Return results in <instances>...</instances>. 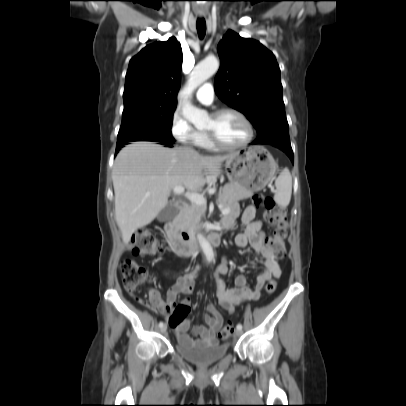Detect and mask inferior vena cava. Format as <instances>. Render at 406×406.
<instances>
[{
    "mask_svg": "<svg viewBox=\"0 0 406 406\" xmlns=\"http://www.w3.org/2000/svg\"><path fill=\"white\" fill-rule=\"evenodd\" d=\"M185 150L192 152V153H197L194 149H192L191 147H184Z\"/></svg>",
    "mask_w": 406,
    "mask_h": 406,
    "instance_id": "602c4592",
    "label": "inferior vena cava"
}]
</instances>
